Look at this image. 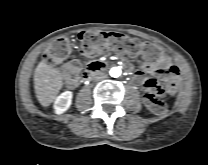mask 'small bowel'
I'll list each match as a JSON object with an SVG mask.
<instances>
[{
  "label": "small bowel",
  "mask_w": 208,
  "mask_h": 165,
  "mask_svg": "<svg viewBox=\"0 0 208 165\" xmlns=\"http://www.w3.org/2000/svg\"><path fill=\"white\" fill-rule=\"evenodd\" d=\"M142 56L144 61L141 64V70L134 73V79L144 84V100L147 106L150 107L148 101L155 97L156 89L159 85L155 79L145 78L144 73L156 74L163 81L173 82L180 77L181 71L176 64L172 63L171 58L167 55L156 57L144 53ZM123 63L128 65L126 60H123ZM81 68V63L77 59L72 58L69 60L68 65L61 71L60 77L69 89L74 90L78 87Z\"/></svg>",
  "instance_id": "c3829d8e"
}]
</instances>
